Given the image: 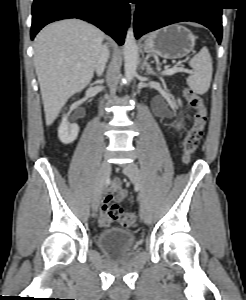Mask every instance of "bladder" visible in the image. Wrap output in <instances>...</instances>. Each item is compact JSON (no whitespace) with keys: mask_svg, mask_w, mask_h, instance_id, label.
<instances>
[{"mask_svg":"<svg viewBox=\"0 0 246 300\" xmlns=\"http://www.w3.org/2000/svg\"><path fill=\"white\" fill-rule=\"evenodd\" d=\"M97 246L109 257L122 260L137 249L134 233L128 229L111 227L97 234Z\"/></svg>","mask_w":246,"mask_h":300,"instance_id":"obj_1","label":"bladder"}]
</instances>
